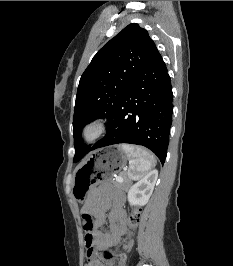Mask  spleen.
Wrapping results in <instances>:
<instances>
[{"mask_svg":"<svg viewBox=\"0 0 233 266\" xmlns=\"http://www.w3.org/2000/svg\"><path fill=\"white\" fill-rule=\"evenodd\" d=\"M120 147L129 160L127 175L130 180L141 179L150 169L155 167L156 159L146 149L129 144H121Z\"/></svg>","mask_w":233,"mask_h":266,"instance_id":"1","label":"spleen"}]
</instances>
